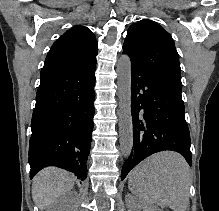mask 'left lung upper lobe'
<instances>
[{"label":"left lung upper lobe","mask_w":219,"mask_h":211,"mask_svg":"<svg viewBox=\"0 0 219 211\" xmlns=\"http://www.w3.org/2000/svg\"><path fill=\"white\" fill-rule=\"evenodd\" d=\"M123 51L129 55L131 63L182 90L179 55L174 41L158 23L144 19L132 24Z\"/></svg>","instance_id":"obj_1"}]
</instances>
